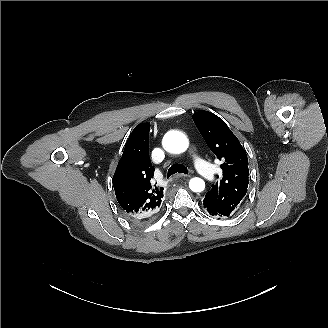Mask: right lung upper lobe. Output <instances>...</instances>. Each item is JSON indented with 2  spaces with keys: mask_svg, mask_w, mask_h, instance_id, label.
Masks as SVG:
<instances>
[{
  "mask_svg": "<svg viewBox=\"0 0 328 328\" xmlns=\"http://www.w3.org/2000/svg\"><path fill=\"white\" fill-rule=\"evenodd\" d=\"M149 129L148 123L134 128L112 180L124 213L141 223L155 219L163 205L164 188L152 182L154 168L149 158Z\"/></svg>",
  "mask_w": 328,
  "mask_h": 328,
  "instance_id": "cb5924a9",
  "label": "right lung upper lobe"
}]
</instances>
